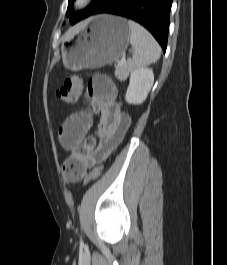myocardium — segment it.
Here are the masks:
<instances>
[{
	"mask_svg": "<svg viewBox=\"0 0 227 265\" xmlns=\"http://www.w3.org/2000/svg\"><path fill=\"white\" fill-rule=\"evenodd\" d=\"M93 0H74L73 6L77 10H83L92 4Z\"/></svg>",
	"mask_w": 227,
	"mask_h": 265,
	"instance_id": "1",
	"label": "myocardium"
}]
</instances>
